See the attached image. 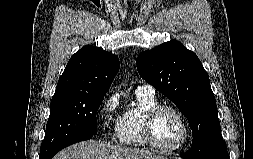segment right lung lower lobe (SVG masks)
Returning a JSON list of instances; mask_svg holds the SVG:
<instances>
[{"mask_svg": "<svg viewBox=\"0 0 253 159\" xmlns=\"http://www.w3.org/2000/svg\"><path fill=\"white\" fill-rule=\"evenodd\" d=\"M93 136V135H92ZM92 136H88V137H84V138H80V139H77V140H74V141H71L61 147H59L57 150H55L52 154H50L48 157H46L45 159H51L57 152H59L60 150H62L63 148L71 145V144H74L76 142H80V141H84V140H87V139H90L92 138Z\"/></svg>", "mask_w": 253, "mask_h": 159, "instance_id": "right-lung-lower-lobe-1", "label": "right lung lower lobe"}]
</instances>
